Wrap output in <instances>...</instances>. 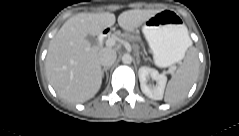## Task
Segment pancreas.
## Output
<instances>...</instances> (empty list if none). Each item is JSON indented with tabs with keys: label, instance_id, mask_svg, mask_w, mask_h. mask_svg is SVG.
<instances>
[{
	"label": "pancreas",
	"instance_id": "cf45deb5",
	"mask_svg": "<svg viewBox=\"0 0 239 136\" xmlns=\"http://www.w3.org/2000/svg\"><path fill=\"white\" fill-rule=\"evenodd\" d=\"M123 37H124L125 39L129 40V41H135V40H136V37H135L134 35L129 34V33H125V34L123 35Z\"/></svg>",
	"mask_w": 239,
	"mask_h": 136
}]
</instances>
